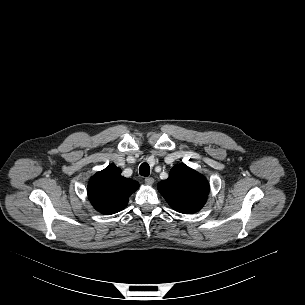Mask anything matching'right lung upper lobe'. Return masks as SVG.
Here are the masks:
<instances>
[{
    "label": "right lung upper lobe",
    "mask_w": 305,
    "mask_h": 305,
    "mask_svg": "<svg viewBox=\"0 0 305 305\" xmlns=\"http://www.w3.org/2000/svg\"><path fill=\"white\" fill-rule=\"evenodd\" d=\"M138 187L137 181L121 176V169L110 164L90 179L88 198L97 211L110 215L124 209Z\"/></svg>",
    "instance_id": "cb5924a9"
}]
</instances>
